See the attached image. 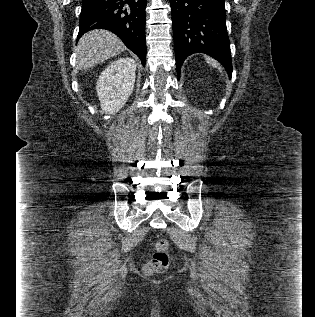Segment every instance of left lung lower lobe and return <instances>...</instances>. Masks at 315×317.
<instances>
[{
    "instance_id": "left-lung-lower-lobe-1",
    "label": "left lung lower lobe",
    "mask_w": 315,
    "mask_h": 317,
    "mask_svg": "<svg viewBox=\"0 0 315 317\" xmlns=\"http://www.w3.org/2000/svg\"><path fill=\"white\" fill-rule=\"evenodd\" d=\"M170 4L178 76L184 60L201 52L219 61L231 77L224 0H170Z\"/></svg>"
}]
</instances>
